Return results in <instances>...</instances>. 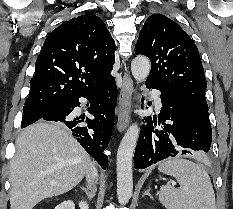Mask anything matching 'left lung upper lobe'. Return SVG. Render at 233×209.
<instances>
[{"label": "left lung upper lobe", "instance_id": "obj_1", "mask_svg": "<svg viewBox=\"0 0 233 209\" xmlns=\"http://www.w3.org/2000/svg\"><path fill=\"white\" fill-rule=\"evenodd\" d=\"M135 53L151 61L147 80L156 81L208 110L207 83L198 49L176 22L162 14L149 16L140 31Z\"/></svg>", "mask_w": 233, "mask_h": 209}]
</instances>
